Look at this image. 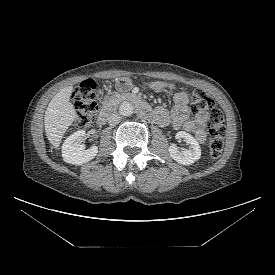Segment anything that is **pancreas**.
I'll return each instance as SVG.
<instances>
[{"label":"pancreas","instance_id":"cf45deb5","mask_svg":"<svg viewBox=\"0 0 275 275\" xmlns=\"http://www.w3.org/2000/svg\"><path fill=\"white\" fill-rule=\"evenodd\" d=\"M127 96H128L127 94H120L118 92H114L110 96H106L102 103L104 106H109V107L116 106L122 100L126 99Z\"/></svg>","mask_w":275,"mask_h":275}]
</instances>
